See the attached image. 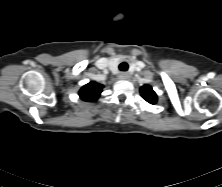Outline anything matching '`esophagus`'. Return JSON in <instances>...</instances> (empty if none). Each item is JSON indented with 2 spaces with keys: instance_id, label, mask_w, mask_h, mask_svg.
I'll use <instances>...</instances> for the list:
<instances>
[{
  "instance_id": "obj_1",
  "label": "esophagus",
  "mask_w": 222,
  "mask_h": 187,
  "mask_svg": "<svg viewBox=\"0 0 222 187\" xmlns=\"http://www.w3.org/2000/svg\"><path fill=\"white\" fill-rule=\"evenodd\" d=\"M127 74H125V73H120L119 74V79H127Z\"/></svg>"
}]
</instances>
